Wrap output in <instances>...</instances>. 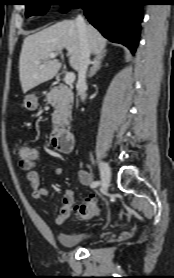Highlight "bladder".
<instances>
[{
    "label": "bladder",
    "mask_w": 174,
    "mask_h": 278,
    "mask_svg": "<svg viewBox=\"0 0 174 278\" xmlns=\"http://www.w3.org/2000/svg\"><path fill=\"white\" fill-rule=\"evenodd\" d=\"M92 236V233H80V234H69L59 233L57 239L59 243L64 247H74Z\"/></svg>",
    "instance_id": "bladder-1"
}]
</instances>
